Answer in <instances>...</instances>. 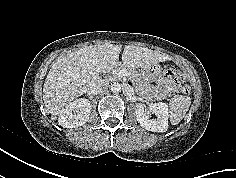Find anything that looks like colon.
Here are the masks:
<instances>
[{"label":"colon","mask_w":236,"mask_h":178,"mask_svg":"<svg viewBox=\"0 0 236 178\" xmlns=\"http://www.w3.org/2000/svg\"><path fill=\"white\" fill-rule=\"evenodd\" d=\"M176 73H177V70L173 69V68H169V69L165 70V76L166 77L174 76ZM183 92L184 93L189 92V86L187 84L183 86Z\"/></svg>","instance_id":"colon-1"}]
</instances>
